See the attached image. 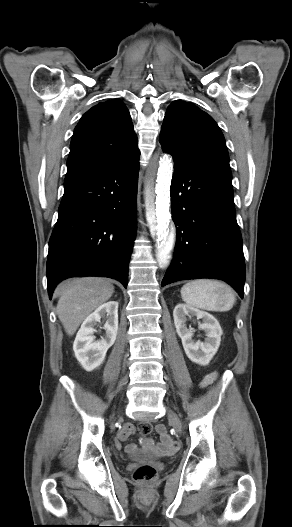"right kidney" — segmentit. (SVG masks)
Masks as SVG:
<instances>
[{
	"label": "right kidney",
	"mask_w": 292,
	"mask_h": 527,
	"mask_svg": "<svg viewBox=\"0 0 292 527\" xmlns=\"http://www.w3.org/2000/svg\"><path fill=\"white\" fill-rule=\"evenodd\" d=\"M101 318L107 319L104 324L105 334L101 340H95V326ZM118 331V302L109 301L99 306L90 314L78 331L73 350L77 360L87 371L99 367L106 356L107 350L114 344Z\"/></svg>",
	"instance_id": "right-kidney-1"
}]
</instances>
